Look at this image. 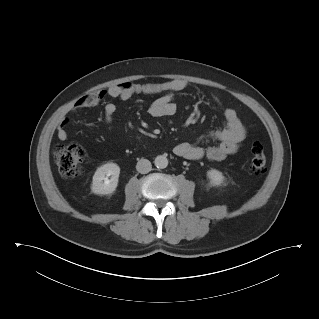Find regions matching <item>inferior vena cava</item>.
I'll list each match as a JSON object with an SVG mask.
<instances>
[{
	"label": "inferior vena cava",
	"instance_id": "602c4592",
	"mask_svg": "<svg viewBox=\"0 0 319 319\" xmlns=\"http://www.w3.org/2000/svg\"><path fill=\"white\" fill-rule=\"evenodd\" d=\"M136 169L141 174H146L151 171L152 165L151 162L147 159H140L137 162Z\"/></svg>",
	"mask_w": 319,
	"mask_h": 319
}]
</instances>
